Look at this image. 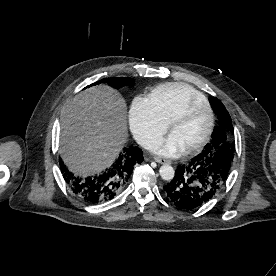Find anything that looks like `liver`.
Here are the masks:
<instances>
[{"label":"liver","instance_id":"1","mask_svg":"<svg viewBox=\"0 0 276 276\" xmlns=\"http://www.w3.org/2000/svg\"><path fill=\"white\" fill-rule=\"evenodd\" d=\"M127 106L106 85L77 94L66 106L60 135V154L72 172L89 175L110 166L127 141Z\"/></svg>","mask_w":276,"mask_h":276}]
</instances>
